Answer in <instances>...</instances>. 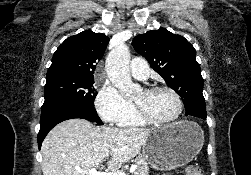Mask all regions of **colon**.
Here are the masks:
<instances>
[{
	"label": "colon",
	"instance_id": "obj_1",
	"mask_svg": "<svg viewBox=\"0 0 251 175\" xmlns=\"http://www.w3.org/2000/svg\"><path fill=\"white\" fill-rule=\"evenodd\" d=\"M183 173L184 175H203L202 170L193 164L184 165Z\"/></svg>",
	"mask_w": 251,
	"mask_h": 175
}]
</instances>
